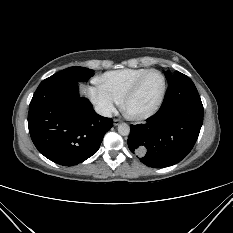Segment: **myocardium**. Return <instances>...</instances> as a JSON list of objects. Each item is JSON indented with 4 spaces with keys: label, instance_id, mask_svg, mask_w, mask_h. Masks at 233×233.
Here are the masks:
<instances>
[{
    "label": "myocardium",
    "instance_id": "f54148a6",
    "mask_svg": "<svg viewBox=\"0 0 233 233\" xmlns=\"http://www.w3.org/2000/svg\"><path fill=\"white\" fill-rule=\"evenodd\" d=\"M158 73L161 78H162V89H161V93L160 96L157 100V102L155 103V105L143 112V113H133L128 109V102L129 100L137 93V91L139 90L143 80L145 79V77L147 75H149L150 73ZM166 89H167V81H166V77L165 75L157 69H148L147 71H145L144 73H142L136 80L135 82L128 88V90L124 93V95L121 98V108L123 110V112L125 113V115L133 120H144L147 119L151 116H153L161 107L163 100L165 98V94H166Z\"/></svg>",
    "mask_w": 233,
    "mask_h": 233
}]
</instances>
